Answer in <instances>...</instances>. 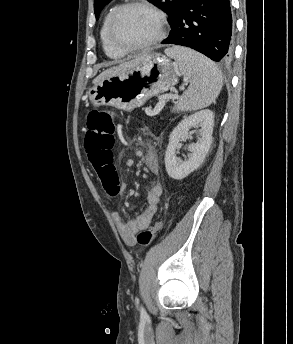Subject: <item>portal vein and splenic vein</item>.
<instances>
[{
    "instance_id": "portal-vein-and-splenic-vein-1",
    "label": "portal vein and splenic vein",
    "mask_w": 293,
    "mask_h": 344,
    "mask_svg": "<svg viewBox=\"0 0 293 344\" xmlns=\"http://www.w3.org/2000/svg\"><path fill=\"white\" fill-rule=\"evenodd\" d=\"M167 98H173V99H174V98H177V95L175 94V95H170V96H168V95L161 96V97L159 98V101H158V103H157V105H156V107H155V109H154L152 115L158 114V113L161 111V109H162V108L164 107V105H165V100H166Z\"/></svg>"
}]
</instances>
